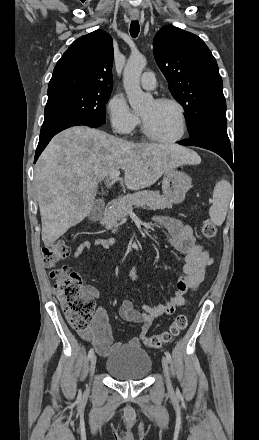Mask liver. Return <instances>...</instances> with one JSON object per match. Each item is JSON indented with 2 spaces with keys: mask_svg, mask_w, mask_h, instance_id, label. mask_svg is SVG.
Returning a JSON list of instances; mask_svg holds the SVG:
<instances>
[{
  "mask_svg": "<svg viewBox=\"0 0 259 440\" xmlns=\"http://www.w3.org/2000/svg\"><path fill=\"white\" fill-rule=\"evenodd\" d=\"M190 149L172 144L131 143L87 126L57 134L35 166L42 240L49 247L91 211L98 183L124 170L130 190L153 185L165 172L199 164Z\"/></svg>",
  "mask_w": 259,
  "mask_h": 440,
  "instance_id": "liver-1",
  "label": "liver"
}]
</instances>
